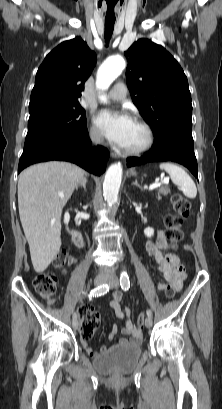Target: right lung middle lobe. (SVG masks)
Masks as SVG:
<instances>
[{"mask_svg":"<svg viewBox=\"0 0 222 409\" xmlns=\"http://www.w3.org/2000/svg\"><path fill=\"white\" fill-rule=\"evenodd\" d=\"M29 113L24 150L40 144L73 147L87 133L79 102L43 104L29 108Z\"/></svg>","mask_w":222,"mask_h":409,"instance_id":"1","label":"right lung middle lobe"}]
</instances>
